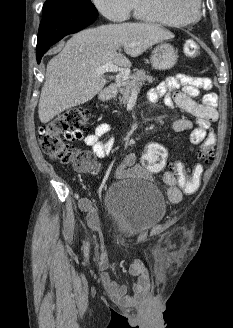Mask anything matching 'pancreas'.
I'll return each instance as SVG.
<instances>
[{"instance_id":"obj_1","label":"pancreas","mask_w":233,"mask_h":328,"mask_svg":"<svg viewBox=\"0 0 233 328\" xmlns=\"http://www.w3.org/2000/svg\"><path fill=\"white\" fill-rule=\"evenodd\" d=\"M153 77L148 75L144 70H138L134 74L130 75L128 79L121 80L118 84L120 96L118 97L121 104H126L131 97L133 90L140 91L143 84L146 82L152 83ZM115 99V97H114Z\"/></svg>"}]
</instances>
